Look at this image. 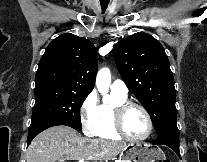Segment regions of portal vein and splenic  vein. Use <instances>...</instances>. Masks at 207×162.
Instances as JSON below:
<instances>
[{"label": "portal vein and splenic vein", "instance_id": "1", "mask_svg": "<svg viewBox=\"0 0 207 162\" xmlns=\"http://www.w3.org/2000/svg\"><path fill=\"white\" fill-rule=\"evenodd\" d=\"M61 162H63V161H61ZM79 162H88V161H85V160H79Z\"/></svg>", "mask_w": 207, "mask_h": 162}]
</instances>
